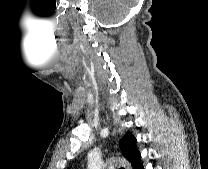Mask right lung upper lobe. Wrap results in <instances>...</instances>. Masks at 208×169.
I'll list each match as a JSON object with an SVG mask.
<instances>
[{
  "label": "right lung upper lobe",
  "instance_id": "right-lung-upper-lobe-1",
  "mask_svg": "<svg viewBox=\"0 0 208 169\" xmlns=\"http://www.w3.org/2000/svg\"><path fill=\"white\" fill-rule=\"evenodd\" d=\"M123 156L132 164L133 168L141 160L140 152L136 146V138L129 132L120 140L119 143Z\"/></svg>",
  "mask_w": 208,
  "mask_h": 169
}]
</instances>
